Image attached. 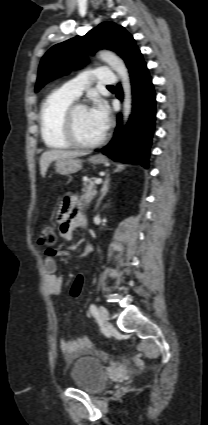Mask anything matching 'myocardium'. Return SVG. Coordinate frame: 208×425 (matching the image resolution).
Returning a JSON list of instances; mask_svg holds the SVG:
<instances>
[{
	"instance_id": "1",
	"label": "myocardium",
	"mask_w": 208,
	"mask_h": 425,
	"mask_svg": "<svg viewBox=\"0 0 208 425\" xmlns=\"http://www.w3.org/2000/svg\"><path fill=\"white\" fill-rule=\"evenodd\" d=\"M80 109H88V107L83 103H73L65 111L63 117V131L64 136L68 142L75 148L79 149H91L100 146L104 143L106 135L103 134L101 138L93 142H82L78 139L75 133L74 118L75 113Z\"/></svg>"
}]
</instances>
